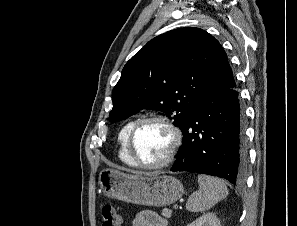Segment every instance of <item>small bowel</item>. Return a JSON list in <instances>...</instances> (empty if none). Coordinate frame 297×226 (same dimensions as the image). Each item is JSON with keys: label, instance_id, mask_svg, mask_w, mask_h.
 Instances as JSON below:
<instances>
[{"label": "small bowel", "instance_id": "obj_1", "mask_svg": "<svg viewBox=\"0 0 297 226\" xmlns=\"http://www.w3.org/2000/svg\"><path fill=\"white\" fill-rule=\"evenodd\" d=\"M132 226H167V221L158 213L145 210L134 215Z\"/></svg>", "mask_w": 297, "mask_h": 226}]
</instances>
